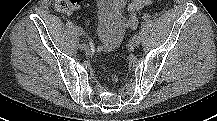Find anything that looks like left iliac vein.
Segmentation results:
<instances>
[{
    "label": "left iliac vein",
    "mask_w": 217,
    "mask_h": 121,
    "mask_svg": "<svg viewBox=\"0 0 217 121\" xmlns=\"http://www.w3.org/2000/svg\"><path fill=\"white\" fill-rule=\"evenodd\" d=\"M141 42V37L139 35H134L130 40L131 46H138Z\"/></svg>",
    "instance_id": "1"
}]
</instances>
